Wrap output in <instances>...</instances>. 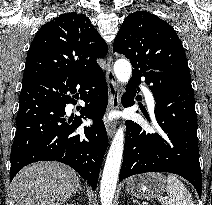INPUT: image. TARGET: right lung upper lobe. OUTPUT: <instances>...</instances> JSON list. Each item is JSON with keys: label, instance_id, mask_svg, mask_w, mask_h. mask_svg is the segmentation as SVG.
I'll return each instance as SVG.
<instances>
[{"label": "right lung upper lobe", "instance_id": "right-lung-upper-lobe-1", "mask_svg": "<svg viewBox=\"0 0 212 205\" xmlns=\"http://www.w3.org/2000/svg\"><path fill=\"white\" fill-rule=\"evenodd\" d=\"M108 52L104 39L84 14L65 13L43 25L30 46L23 85L102 70L96 59Z\"/></svg>", "mask_w": 212, "mask_h": 205}]
</instances>
